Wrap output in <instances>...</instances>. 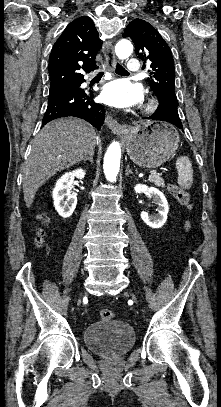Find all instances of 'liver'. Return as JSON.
Returning <instances> with one entry per match:
<instances>
[{
	"instance_id": "obj_1",
	"label": "liver",
	"mask_w": 221,
	"mask_h": 407,
	"mask_svg": "<svg viewBox=\"0 0 221 407\" xmlns=\"http://www.w3.org/2000/svg\"><path fill=\"white\" fill-rule=\"evenodd\" d=\"M97 138L94 127L81 119H58L46 124L34 138L23 169L27 208L49 178L94 153Z\"/></svg>"
}]
</instances>
